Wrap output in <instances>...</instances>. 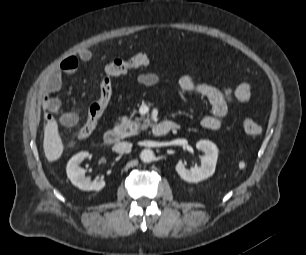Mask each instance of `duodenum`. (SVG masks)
Listing matches in <instances>:
<instances>
[{
	"mask_svg": "<svg viewBox=\"0 0 306 255\" xmlns=\"http://www.w3.org/2000/svg\"><path fill=\"white\" fill-rule=\"evenodd\" d=\"M177 128L178 125L175 122L167 120L156 124L153 127L152 132L155 136L161 137L168 134L171 130ZM103 140L106 145L115 144L119 140V132L115 129H109L105 132Z\"/></svg>",
	"mask_w": 306,
	"mask_h": 255,
	"instance_id": "410a0bca",
	"label": "duodenum"
}]
</instances>
